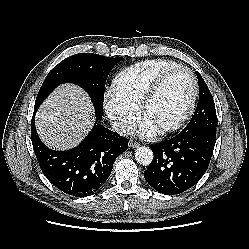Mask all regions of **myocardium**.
I'll return each mask as SVG.
<instances>
[{
    "instance_id": "1",
    "label": "myocardium",
    "mask_w": 249,
    "mask_h": 249,
    "mask_svg": "<svg viewBox=\"0 0 249 249\" xmlns=\"http://www.w3.org/2000/svg\"><path fill=\"white\" fill-rule=\"evenodd\" d=\"M180 70L186 71L190 76L191 92H190L189 101H188L186 109L175 122L158 129V132L163 135L170 134L181 129L191 118L195 110L197 96H198V85H197V79H196V76L193 70L185 65H176L172 68L165 70L155 79V81L149 87L147 92L144 94L138 106V113L141 118H144L147 108L152 103V101L155 99L157 94L159 93L164 82L167 80L169 76H171L173 73L180 71Z\"/></svg>"
}]
</instances>
